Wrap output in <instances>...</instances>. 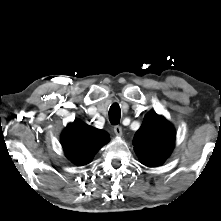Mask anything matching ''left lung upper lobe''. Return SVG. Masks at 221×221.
Instances as JSON below:
<instances>
[{"label":"left lung upper lobe","mask_w":221,"mask_h":221,"mask_svg":"<svg viewBox=\"0 0 221 221\" xmlns=\"http://www.w3.org/2000/svg\"><path fill=\"white\" fill-rule=\"evenodd\" d=\"M175 130L155 112L147 114L136 132L133 145L142 164L156 167L165 162L174 147Z\"/></svg>","instance_id":"left-lung-upper-lobe-1"}]
</instances>
